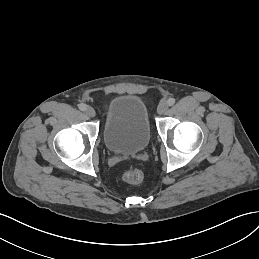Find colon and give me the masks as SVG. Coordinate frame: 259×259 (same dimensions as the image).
Listing matches in <instances>:
<instances>
[{
    "label": "colon",
    "instance_id": "colon-1",
    "mask_svg": "<svg viewBox=\"0 0 259 259\" xmlns=\"http://www.w3.org/2000/svg\"><path fill=\"white\" fill-rule=\"evenodd\" d=\"M142 179L143 173L137 168L130 169L123 175V180L131 184H138L142 181Z\"/></svg>",
    "mask_w": 259,
    "mask_h": 259
}]
</instances>
